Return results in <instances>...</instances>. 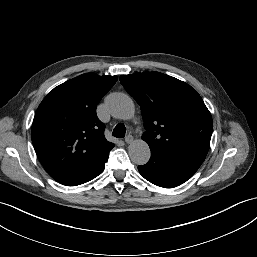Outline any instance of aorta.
<instances>
[{
	"label": "aorta",
	"mask_w": 257,
	"mask_h": 257,
	"mask_svg": "<svg viewBox=\"0 0 257 257\" xmlns=\"http://www.w3.org/2000/svg\"><path fill=\"white\" fill-rule=\"evenodd\" d=\"M107 108L112 116L122 120L133 117L135 108L132 99L124 93H113L107 99ZM128 153L133 163L146 164L151 155L149 145L143 140H136L129 145Z\"/></svg>",
	"instance_id": "obj_1"
}]
</instances>
